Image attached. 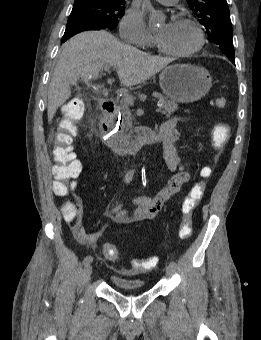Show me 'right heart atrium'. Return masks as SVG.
I'll use <instances>...</instances> for the list:
<instances>
[{
	"instance_id": "d8ad5b80",
	"label": "right heart atrium",
	"mask_w": 261,
	"mask_h": 340,
	"mask_svg": "<svg viewBox=\"0 0 261 340\" xmlns=\"http://www.w3.org/2000/svg\"><path fill=\"white\" fill-rule=\"evenodd\" d=\"M120 37L123 41L138 47H149L154 37L148 30L143 14L136 9L128 10L119 24Z\"/></svg>"
}]
</instances>
